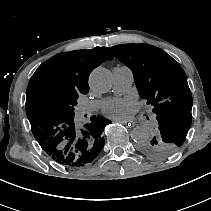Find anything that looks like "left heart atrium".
Returning a JSON list of instances; mask_svg holds the SVG:
<instances>
[{
    "mask_svg": "<svg viewBox=\"0 0 211 211\" xmlns=\"http://www.w3.org/2000/svg\"><path fill=\"white\" fill-rule=\"evenodd\" d=\"M134 107L135 101L132 99H115L107 104L105 112L111 116H123L131 112Z\"/></svg>",
    "mask_w": 211,
    "mask_h": 211,
    "instance_id": "39dd6f15",
    "label": "left heart atrium"
}]
</instances>
